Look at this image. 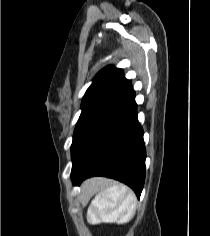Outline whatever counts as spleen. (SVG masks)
Returning <instances> with one entry per match:
<instances>
[{"label":"spleen","mask_w":210,"mask_h":236,"mask_svg":"<svg viewBox=\"0 0 210 236\" xmlns=\"http://www.w3.org/2000/svg\"><path fill=\"white\" fill-rule=\"evenodd\" d=\"M104 186L101 180L89 181L84 189L92 193L97 187ZM137 198L125 185H111L100 190L92 200L87 217L92 224L129 222L135 215Z\"/></svg>","instance_id":"3e777b00"}]
</instances>
